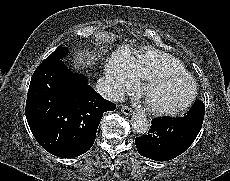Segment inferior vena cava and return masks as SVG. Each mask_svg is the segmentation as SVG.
Wrapping results in <instances>:
<instances>
[{
	"label": "inferior vena cava",
	"mask_w": 230,
	"mask_h": 181,
	"mask_svg": "<svg viewBox=\"0 0 230 181\" xmlns=\"http://www.w3.org/2000/svg\"><path fill=\"white\" fill-rule=\"evenodd\" d=\"M96 91L105 99L118 102L123 99L124 90L111 78L101 77L96 82Z\"/></svg>",
	"instance_id": "1"
}]
</instances>
